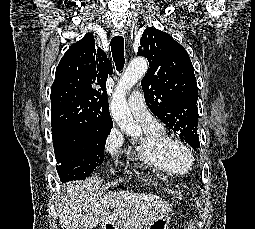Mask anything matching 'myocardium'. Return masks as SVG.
Here are the masks:
<instances>
[{
  "label": "myocardium",
  "instance_id": "obj_1",
  "mask_svg": "<svg viewBox=\"0 0 255 229\" xmlns=\"http://www.w3.org/2000/svg\"><path fill=\"white\" fill-rule=\"evenodd\" d=\"M163 154L178 164L190 166L194 160V154L189 146L179 139L168 138L160 144Z\"/></svg>",
  "mask_w": 255,
  "mask_h": 229
}]
</instances>
